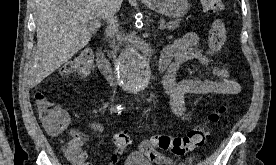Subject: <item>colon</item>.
<instances>
[{
	"mask_svg": "<svg viewBox=\"0 0 276 165\" xmlns=\"http://www.w3.org/2000/svg\"><path fill=\"white\" fill-rule=\"evenodd\" d=\"M201 3L204 11L208 14H219L224 9L223 0H201ZM226 38L227 32L224 23L216 20L209 31V50L211 52L220 51L225 46ZM92 62V53L90 51H82L62 69V77H86L92 69ZM35 102L39 117L47 131L52 134L61 133L68 124V117L64 110L40 92L36 94ZM225 111L226 106H220L211 112L202 123L196 125L182 137L154 135L148 140L149 143L143 146L142 150L150 160L156 157L158 150L168 151L176 156H183L204 144L208 137L210 126L217 123ZM131 142L129 134L125 131L117 132L113 136V145L118 151L126 150L131 145ZM68 152L76 155L75 149L70 148Z\"/></svg>",
	"mask_w": 276,
	"mask_h": 165,
	"instance_id": "obj_1",
	"label": "colon"
}]
</instances>
